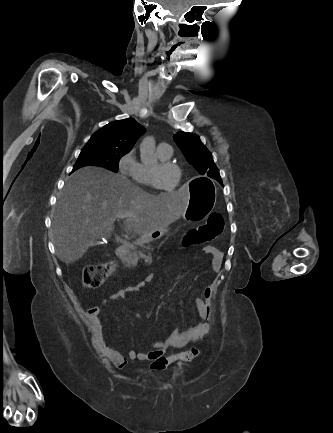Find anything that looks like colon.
Masks as SVG:
<instances>
[{
    "label": "colon",
    "instance_id": "1",
    "mask_svg": "<svg viewBox=\"0 0 333 433\" xmlns=\"http://www.w3.org/2000/svg\"><path fill=\"white\" fill-rule=\"evenodd\" d=\"M224 229L223 216L214 212L210 214L207 220L198 227L190 229L181 241L182 247L200 246L216 239ZM116 270V264L113 262H107L104 264L88 266L83 270L82 282L86 288H97L99 287L114 271ZM199 350L196 347L190 350L172 355L169 357H163L155 361L151 366V369L157 371L166 370L168 367L180 363L190 362L197 358Z\"/></svg>",
    "mask_w": 333,
    "mask_h": 433
}]
</instances>
